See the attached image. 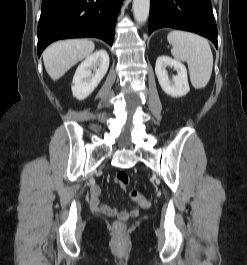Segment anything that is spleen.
<instances>
[{
  "instance_id": "1",
  "label": "spleen",
  "mask_w": 247,
  "mask_h": 265,
  "mask_svg": "<svg viewBox=\"0 0 247 265\" xmlns=\"http://www.w3.org/2000/svg\"><path fill=\"white\" fill-rule=\"evenodd\" d=\"M167 40L172 45L171 54L174 58L187 62L193 87L205 88L213 68V55L208 41L197 34L180 30L171 31Z\"/></svg>"
}]
</instances>
